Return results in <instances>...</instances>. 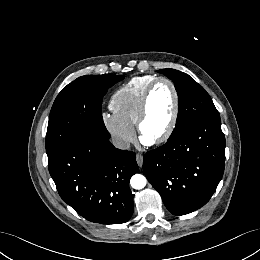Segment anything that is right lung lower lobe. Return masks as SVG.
<instances>
[{
  "instance_id": "98d812e1",
  "label": "right lung lower lobe",
  "mask_w": 260,
  "mask_h": 260,
  "mask_svg": "<svg viewBox=\"0 0 260 260\" xmlns=\"http://www.w3.org/2000/svg\"><path fill=\"white\" fill-rule=\"evenodd\" d=\"M49 172L61 198L91 222L120 224L133 213L129 180L138 170L131 151L108 139L84 136L48 159Z\"/></svg>"
}]
</instances>
